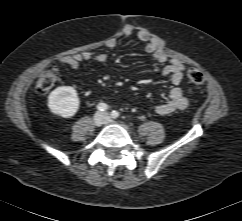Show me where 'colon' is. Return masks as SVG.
Here are the masks:
<instances>
[{"label":"colon","mask_w":242,"mask_h":221,"mask_svg":"<svg viewBox=\"0 0 242 221\" xmlns=\"http://www.w3.org/2000/svg\"><path fill=\"white\" fill-rule=\"evenodd\" d=\"M60 73L56 68H49L43 71L36 83L39 93L49 92L59 81ZM188 79L192 85L198 86L204 82L203 73L197 68L188 71Z\"/></svg>","instance_id":"1"}]
</instances>
